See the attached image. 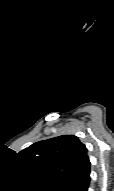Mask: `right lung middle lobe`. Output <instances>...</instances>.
<instances>
[{
  "mask_svg": "<svg viewBox=\"0 0 114 191\" xmlns=\"http://www.w3.org/2000/svg\"><path fill=\"white\" fill-rule=\"evenodd\" d=\"M42 191H57V187L45 188V189H42Z\"/></svg>",
  "mask_w": 114,
  "mask_h": 191,
  "instance_id": "obj_1",
  "label": "right lung middle lobe"
}]
</instances>
